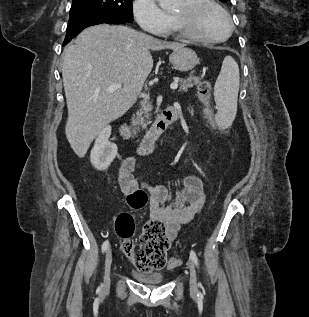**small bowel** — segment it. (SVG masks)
<instances>
[{
    "mask_svg": "<svg viewBox=\"0 0 309 317\" xmlns=\"http://www.w3.org/2000/svg\"><path fill=\"white\" fill-rule=\"evenodd\" d=\"M135 159H125L120 168L119 183L126 195L139 189V184L133 176ZM150 194V214L154 220L161 221L166 228L169 240H174L180 227L191 221L203 208L205 190L200 177H186L184 186L177 192H170L164 186L143 185Z\"/></svg>",
    "mask_w": 309,
    "mask_h": 317,
    "instance_id": "1",
    "label": "small bowel"
}]
</instances>
